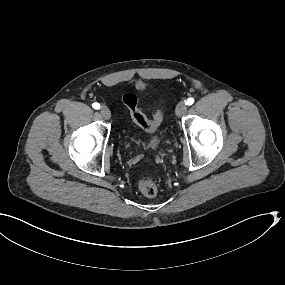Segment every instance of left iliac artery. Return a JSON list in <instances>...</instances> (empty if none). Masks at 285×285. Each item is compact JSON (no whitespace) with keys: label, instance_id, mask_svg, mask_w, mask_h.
Here are the masks:
<instances>
[{"label":"left iliac artery","instance_id":"44dca946","mask_svg":"<svg viewBox=\"0 0 285 285\" xmlns=\"http://www.w3.org/2000/svg\"><path fill=\"white\" fill-rule=\"evenodd\" d=\"M194 103V99L193 98H188L186 101V105H192Z\"/></svg>","mask_w":285,"mask_h":285}]
</instances>
